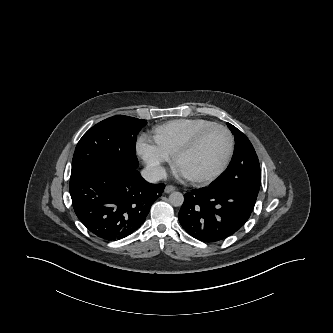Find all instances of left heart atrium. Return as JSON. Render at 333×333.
Masks as SVG:
<instances>
[{
  "label": "left heart atrium",
  "mask_w": 333,
  "mask_h": 333,
  "mask_svg": "<svg viewBox=\"0 0 333 333\" xmlns=\"http://www.w3.org/2000/svg\"><path fill=\"white\" fill-rule=\"evenodd\" d=\"M177 174L179 175V176H183V177H185L186 175L179 169V168H177Z\"/></svg>",
  "instance_id": "1"
}]
</instances>
